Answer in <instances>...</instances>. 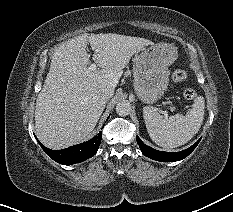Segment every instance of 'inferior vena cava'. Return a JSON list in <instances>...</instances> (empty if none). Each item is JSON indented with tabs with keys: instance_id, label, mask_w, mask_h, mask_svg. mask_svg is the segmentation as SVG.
I'll return each instance as SVG.
<instances>
[{
	"instance_id": "inferior-vena-cava-1",
	"label": "inferior vena cava",
	"mask_w": 233,
	"mask_h": 212,
	"mask_svg": "<svg viewBox=\"0 0 233 212\" xmlns=\"http://www.w3.org/2000/svg\"><path fill=\"white\" fill-rule=\"evenodd\" d=\"M114 91L108 87H102L100 89V94L102 95V97H104L105 99H109L113 96Z\"/></svg>"
}]
</instances>
